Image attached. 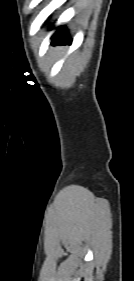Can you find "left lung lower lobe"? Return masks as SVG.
Here are the masks:
<instances>
[{
    "label": "left lung lower lobe",
    "instance_id": "left-lung-lower-lobe-1",
    "mask_svg": "<svg viewBox=\"0 0 134 281\" xmlns=\"http://www.w3.org/2000/svg\"><path fill=\"white\" fill-rule=\"evenodd\" d=\"M59 30L52 36L53 44H70L71 39L68 37L65 27H59Z\"/></svg>",
    "mask_w": 134,
    "mask_h": 281
}]
</instances>
